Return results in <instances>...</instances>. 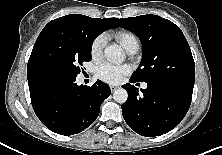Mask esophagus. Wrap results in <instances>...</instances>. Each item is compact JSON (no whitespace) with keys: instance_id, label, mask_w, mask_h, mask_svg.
Segmentation results:
<instances>
[{"instance_id":"obj_1","label":"esophagus","mask_w":222,"mask_h":155,"mask_svg":"<svg viewBox=\"0 0 222 155\" xmlns=\"http://www.w3.org/2000/svg\"><path fill=\"white\" fill-rule=\"evenodd\" d=\"M119 88V86L116 85H110V89L112 92L116 91Z\"/></svg>"}]
</instances>
